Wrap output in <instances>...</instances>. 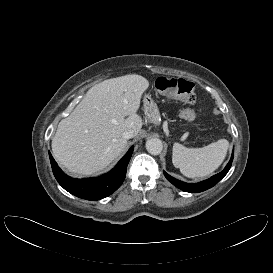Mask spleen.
I'll list each match as a JSON object with an SVG mask.
<instances>
[{
	"mask_svg": "<svg viewBox=\"0 0 273 273\" xmlns=\"http://www.w3.org/2000/svg\"><path fill=\"white\" fill-rule=\"evenodd\" d=\"M228 147L229 142L226 139H220L202 148H187L174 143L172 162L186 177H206L222 164Z\"/></svg>",
	"mask_w": 273,
	"mask_h": 273,
	"instance_id": "3e777b00",
	"label": "spleen"
}]
</instances>
